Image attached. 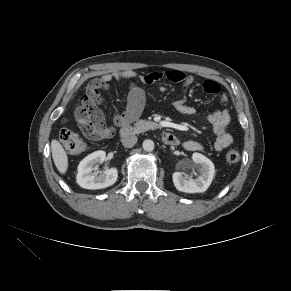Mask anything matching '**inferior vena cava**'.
<instances>
[{"instance_id":"602c4592","label":"inferior vena cava","mask_w":291,"mask_h":291,"mask_svg":"<svg viewBox=\"0 0 291 291\" xmlns=\"http://www.w3.org/2000/svg\"><path fill=\"white\" fill-rule=\"evenodd\" d=\"M137 140H138L137 136L132 135V136H128L124 138L122 140V143L124 147L130 148V147H133L137 143Z\"/></svg>"}]
</instances>
